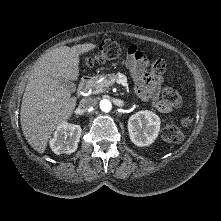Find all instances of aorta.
Masks as SVG:
<instances>
[{"mask_svg": "<svg viewBox=\"0 0 221 221\" xmlns=\"http://www.w3.org/2000/svg\"><path fill=\"white\" fill-rule=\"evenodd\" d=\"M100 108L104 112H109L112 108V104L108 99H103L100 101Z\"/></svg>", "mask_w": 221, "mask_h": 221, "instance_id": "aorta-1", "label": "aorta"}]
</instances>
